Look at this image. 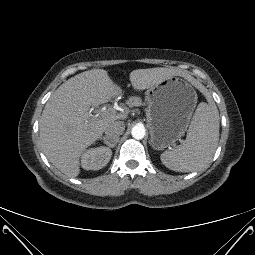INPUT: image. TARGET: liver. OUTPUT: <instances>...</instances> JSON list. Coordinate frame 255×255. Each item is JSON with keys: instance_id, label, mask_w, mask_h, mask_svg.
Returning <instances> with one entry per match:
<instances>
[{"instance_id": "obj_1", "label": "liver", "mask_w": 255, "mask_h": 255, "mask_svg": "<svg viewBox=\"0 0 255 255\" xmlns=\"http://www.w3.org/2000/svg\"><path fill=\"white\" fill-rule=\"evenodd\" d=\"M178 75L196 84L195 79L173 68L133 70L129 79L134 89L144 90ZM120 88L106 70L80 73L58 87L47 101L40 119V142L48 160L69 178L80 174V156L101 138L108 124L123 120L126 113L94 116L90 107L112 99Z\"/></svg>"}]
</instances>
